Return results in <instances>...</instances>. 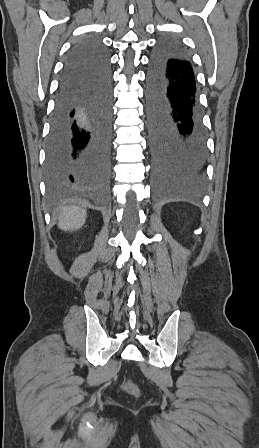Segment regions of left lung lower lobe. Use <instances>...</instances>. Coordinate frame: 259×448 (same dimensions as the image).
<instances>
[{"instance_id":"obj_1","label":"left lung lower lobe","mask_w":259,"mask_h":448,"mask_svg":"<svg viewBox=\"0 0 259 448\" xmlns=\"http://www.w3.org/2000/svg\"><path fill=\"white\" fill-rule=\"evenodd\" d=\"M147 119L157 186L166 190L198 188L207 160L206 134L193 65L172 39L162 40L150 58Z\"/></svg>"}]
</instances>
